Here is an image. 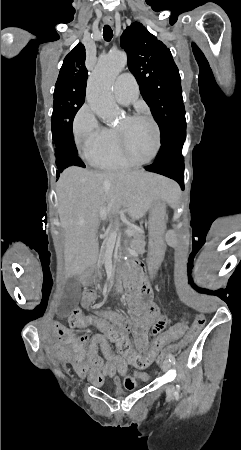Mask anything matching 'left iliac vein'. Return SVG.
Wrapping results in <instances>:
<instances>
[{
    "label": "left iliac vein",
    "mask_w": 241,
    "mask_h": 450,
    "mask_svg": "<svg viewBox=\"0 0 241 450\" xmlns=\"http://www.w3.org/2000/svg\"><path fill=\"white\" fill-rule=\"evenodd\" d=\"M162 369H163V371L165 373L169 372V370H170V362L168 360H165L163 362ZM166 392H167V395L170 396V397H172L174 395L175 390H174V387H173L172 384H169L167 386Z\"/></svg>",
    "instance_id": "4c4485c4"
}]
</instances>
